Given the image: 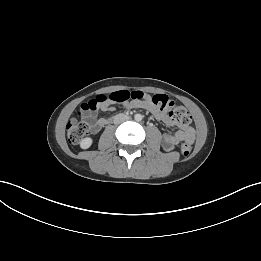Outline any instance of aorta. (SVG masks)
<instances>
[{"mask_svg": "<svg viewBox=\"0 0 261 261\" xmlns=\"http://www.w3.org/2000/svg\"><path fill=\"white\" fill-rule=\"evenodd\" d=\"M134 118H135L136 121L139 122V121L142 120L143 116L141 114H135Z\"/></svg>", "mask_w": 261, "mask_h": 261, "instance_id": "aorta-1", "label": "aorta"}]
</instances>
